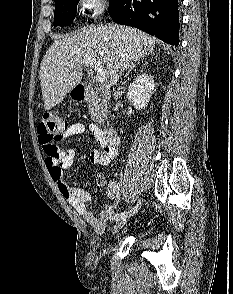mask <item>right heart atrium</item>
<instances>
[{
	"label": "right heart atrium",
	"mask_w": 233,
	"mask_h": 294,
	"mask_svg": "<svg viewBox=\"0 0 233 294\" xmlns=\"http://www.w3.org/2000/svg\"><path fill=\"white\" fill-rule=\"evenodd\" d=\"M78 7L87 18L97 21L107 9V0H78Z\"/></svg>",
	"instance_id": "right-heart-atrium-1"
}]
</instances>
